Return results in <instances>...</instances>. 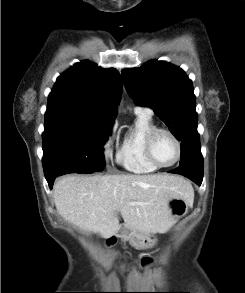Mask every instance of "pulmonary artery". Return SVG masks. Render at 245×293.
<instances>
[{
    "mask_svg": "<svg viewBox=\"0 0 245 293\" xmlns=\"http://www.w3.org/2000/svg\"><path fill=\"white\" fill-rule=\"evenodd\" d=\"M136 113H146V114H151V110L147 107H136L135 108Z\"/></svg>",
    "mask_w": 245,
    "mask_h": 293,
    "instance_id": "obj_1",
    "label": "pulmonary artery"
}]
</instances>
